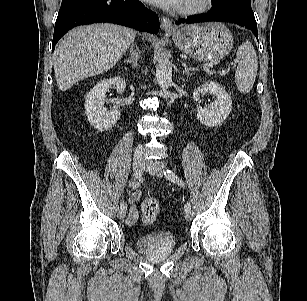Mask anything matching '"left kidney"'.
I'll use <instances>...</instances> for the list:
<instances>
[{
	"mask_svg": "<svg viewBox=\"0 0 307 301\" xmlns=\"http://www.w3.org/2000/svg\"><path fill=\"white\" fill-rule=\"evenodd\" d=\"M211 93L217 100L209 108H198V120L209 127L220 125L232 110V100L226 90L217 82L208 81L193 92V99L200 100V93Z\"/></svg>",
	"mask_w": 307,
	"mask_h": 301,
	"instance_id": "1",
	"label": "left kidney"
}]
</instances>
